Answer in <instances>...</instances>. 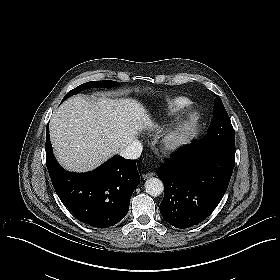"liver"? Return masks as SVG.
<instances>
[{
	"mask_svg": "<svg viewBox=\"0 0 280 280\" xmlns=\"http://www.w3.org/2000/svg\"><path fill=\"white\" fill-rule=\"evenodd\" d=\"M154 123L133 99L75 96L65 101L50 120V137L59 163L67 170L87 172L121 152Z\"/></svg>",
	"mask_w": 280,
	"mask_h": 280,
	"instance_id": "6515ba94",
	"label": "liver"
}]
</instances>
